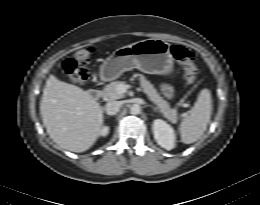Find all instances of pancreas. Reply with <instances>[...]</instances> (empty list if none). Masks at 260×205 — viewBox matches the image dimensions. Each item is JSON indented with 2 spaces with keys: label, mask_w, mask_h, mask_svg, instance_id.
Masks as SVG:
<instances>
[{
  "label": "pancreas",
  "mask_w": 260,
  "mask_h": 205,
  "mask_svg": "<svg viewBox=\"0 0 260 205\" xmlns=\"http://www.w3.org/2000/svg\"><path fill=\"white\" fill-rule=\"evenodd\" d=\"M139 81L149 100L157 106L166 119L172 123H176L178 120L177 110L170 107V104L159 95L157 90L154 88V85L151 84V82L148 81L142 74L139 75ZM121 84H124V82L114 81L106 85L101 91L103 99L110 101L122 98L123 94H120L117 90L118 86Z\"/></svg>",
  "instance_id": "pancreas-1"
}]
</instances>
